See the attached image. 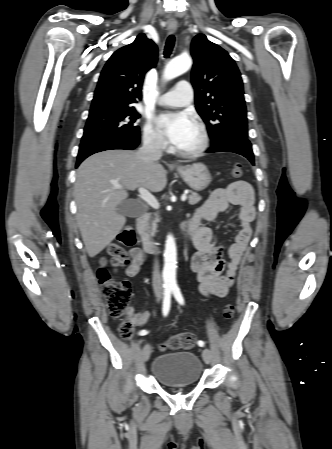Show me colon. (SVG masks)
Segmentation results:
<instances>
[{"label": "colon", "instance_id": "colon-1", "mask_svg": "<svg viewBox=\"0 0 332 449\" xmlns=\"http://www.w3.org/2000/svg\"><path fill=\"white\" fill-rule=\"evenodd\" d=\"M243 175V168L240 163H236L231 168V176L233 178H240ZM120 241L125 245H133L136 242V235L131 227H126L120 233ZM109 259L103 257L100 260V266L97 270V276L102 287V293L105 297L106 304L110 316L114 319L121 320L119 325V334L122 338L128 339L133 332V324L127 318V309L131 300V284L127 280H115L111 277L107 265L118 267L126 264L127 259L122 247L119 245H112L108 250ZM235 309L232 305H227L223 310V317L225 319H232ZM195 337L191 333H179L166 342L161 344L162 350L172 349H190L194 346Z\"/></svg>", "mask_w": 332, "mask_h": 449}]
</instances>
